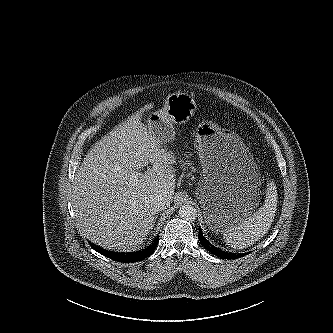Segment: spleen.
Masks as SVG:
<instances>
[{"mask_svg": "<svg viewBox=\"0 0 333 333\" xmlns=\"http://www.w3.org/2000/svg\"><path fill=\"white\" fill-rule=\"evenodd\" d=\"M277 208V187L267 183L265 202L257 212L241 220L224 232L226 244L234 249H244L260 240L269 230Z\"/></svg>", "mask_w": 333, "mask_h": 333, "instance_id": "3e777b00", "label": "spleen"}]
</instances>
